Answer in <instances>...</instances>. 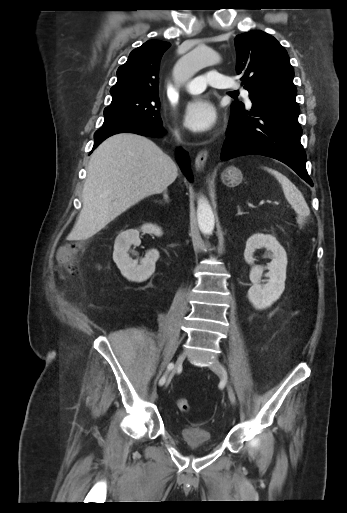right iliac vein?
Here are the masks:
<instances>
[{
	"label": "right iliac vein",
	"instance_id": "1",
	"mask_svg": "<svg viewBox=\"0 0 347 513\" xmlns=\"http://www.w3.org/2000/svg\"><path fill=\"white\" fill-rule=\"evenodd\" d=\"M183 361H184V354H180V355L178 356L177 360H176L175 367H174V369H173V371H172V376L176 373V371L178 370V368L182 365ZM172 376H171V377H172Z\"/></svg>",
	"mask_w": 347,
	"mask_h": 513
}]
</instances>
